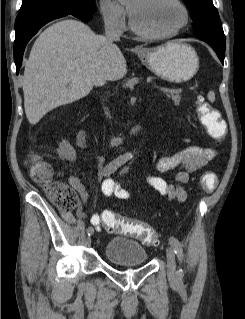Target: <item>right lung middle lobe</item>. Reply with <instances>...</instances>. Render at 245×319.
I'll use <instances>...</instances> for the list:
<instances>
[{
    "label": "right lung middle lobe",
    "instance_id": "dd1d6c3e",
    "mask_svg": "<svg viewBox=\"0 0 245 319\" xmlns=\"http://www.w3.org/2000/svg\"><path fill=\"white\" fill-rule=\"evenodd\" d=\"M51 7L72 8L77 11L90 12L94 10V0H22L19 15L29 14Z\"/></svg>",
    "mask_w": 245,
    "mask_h": 319
}]
</instances>
